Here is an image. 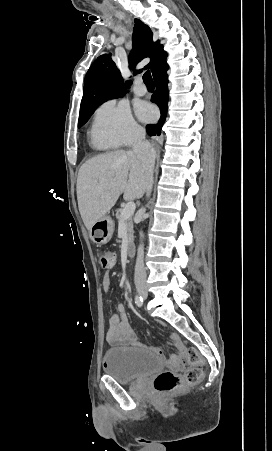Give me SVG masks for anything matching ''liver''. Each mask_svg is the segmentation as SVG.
<instances>
[{
	"instance_id": "obj_1",
	"label": "liver",
	"mask_w": 272,
	"mask_h": 451,
	"mask_svg": "<svg viewBox=\"0 0 272 451\" xmlns=\"http://www.w3.org/2000/svg\"><path fill=\"white\" fill-rule=\"evenodd\" d=\"M146 186V170L133 152L117 150L87 160L78 172L76 186L79 212L87 229L115 206L121 194L124 200L142 198Z\"/></svg>"
}]
</instances>
